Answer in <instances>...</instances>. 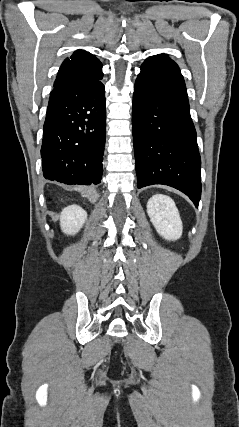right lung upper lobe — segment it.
Wrapping results in <instances>:
<instances>
[{"instance_id": "obj_1", "label": "right lung upper lobe", "mask_w": 239, "mask_h": 427, "mask_svg": "<svg viewBox=\"0 0 239 427\" xmlns=\"http://www.w3.org/2000/svg\"><path fill=\"white\" fill-rule=\"evenodd\" d=\"M102 71V63L91 53L76 50L70 58L62 63L54 85L70 79H78Z\"/></svg>"}]
</instances>
